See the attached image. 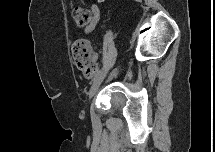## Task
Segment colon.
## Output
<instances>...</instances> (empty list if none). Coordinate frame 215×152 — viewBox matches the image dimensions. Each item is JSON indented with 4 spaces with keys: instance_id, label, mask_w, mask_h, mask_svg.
Returning a JSON list of instances; mask_svg holds the SVG:
<instances>
[{
    "instance_id": "colon-1",
    "label": "colon",
    "mask_w": 215,
    "mask_h": 152,
    "mask_svg": "<svg viewBox=\"0 0 215 152\" xmlns=\"http://www.w3.org/2000/svg\"><path fill=\"white\" fill-rule=\"evenodd\" d=\"M72 16L79 27L87 26L90 22V13L84 8L74 5L71 8ZM71 53L75 66L84 77L90 78L97 72V64L94 59V50L90 41L77 39L71 45Z\"/></svg>"
}]
</instances>
